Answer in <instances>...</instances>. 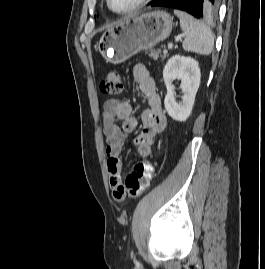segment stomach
Wrapping results in <instances>:
<instances>
[{
    "label": "stomach",
    "mask_w": 265,
    "mask_h": 269,
    "mask_svg": "<svg viewBox=\"0 0 265 269\" xmlns=\"http://www.w3.org/2000/svg\"><path fill=\"white\" fill-rule=\"evenodd\" d=\"M172 27L173 17L166 11L157 10L128 18L103 33L98 50L107 62L120 64L165 40Z\"/></svg>",
    "instance_id": "stomach-1"
}]
</instances>
